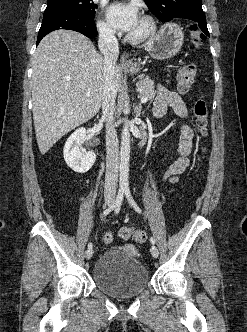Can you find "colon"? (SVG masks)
<instances>
[{
  "label": "colon",
  "instance_id": "colon-1",
  "mask_svg": "<svg viewBox=\"0 0 247 332\" xmlns=\"http://www.w3.org/2000/svg\"><path fill=\"white\" fill-rule=\"evenodd\" d=\"M188 35L195 44L200 43L205 39V34L196 25H191L188 28ZM197 76V66L194 63H189L179 69L177 75V89L181 93H186L193 85ZM193 114L195 123L199 133L202 136L208 134V107L203 97L198 98L193 105ZM119 235L124 240H134L138 243H144L147 240V234L140 229L130 227H123L119 231ZM103 241L110 244L113 241L111 232H105Z\"/></svg>",
  "mask_w": 247,
  "mask_h": 332
}]
</instances>
